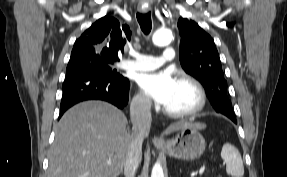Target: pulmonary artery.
<instances>
[{
	"instance_id": "e3ab8cb5",
	"label": "pulmonary artery",
	"mask_w": 287,
	"mask_h": 177,
	"mask_svg": "<svg viewBox=\"0 0 287 177\" xmlns=\"http://www.w3.org/2000/svg\"><path fill=\"white\" fill-rule=\"evenodd\" d=\"M133 60L122 61L119 66L123 69L132 71H147L160 67L165 62L174 59V48L171 46L164 47L162 56H152L139 52H131Z\"/></svg>"
}]
</instances>
